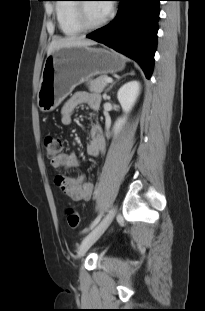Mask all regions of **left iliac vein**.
<instances>
[{"mask_svg": "<svg viewBox=\"0 0 205 311\" xmlns=\"http://www.w3.org/2000/svg\"><path fill=\"white\" fill-rule=\"evenodd\" d=\"M116 214V208H112L108 214L91 230V232L82 240L78 249V258L85 255L88 249L100 238L110 225Z\"/></svg>", "mask_w": 205, "mask_h": 311, "instance_id": "4c4485c4", "label": "left iliac vein"}]
</instances>
